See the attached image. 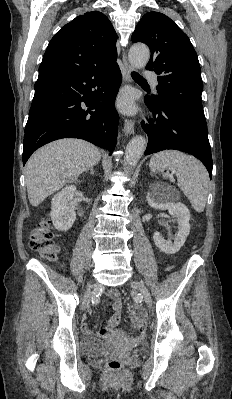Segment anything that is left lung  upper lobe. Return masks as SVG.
Listing matches in <instances>:
<instances>
[{
  "mask_svg": "<svg viewBox=\"0 0 232 399\" xmlns=\"http://www.w3.org/2000/svg\"><path fill=\"white\" fill-rule=\"evenodd\" d=\"M132 41L143 42L151 50L146 69L159 75L157 95L152 97L171 100L206 124L200 65L188 36L166 15L148 12L136 26Z\"/></svg>",
  "mask_w": 232,
  "mask_h": 399,
  "instance_id": "1",
  "label": "left lung upper lobe"
}]
</instances>
